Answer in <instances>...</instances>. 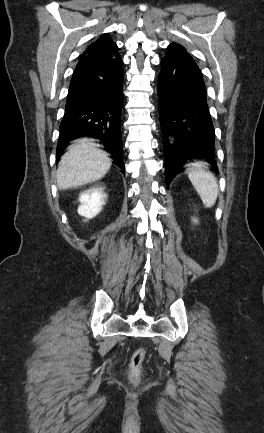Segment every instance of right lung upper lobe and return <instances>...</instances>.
<instances>
[{
	"instance_id": "right-lung-upper-lobe-1",
	"label": "right lung upper lobe",
	"mask_w": 264,
	"mask_h": 433,
	"mask_svg": "<svg viewBox=\"0 0 264 433\" xmlns=\"http://www.w3.org/2000/svg\"><path fill=\"white\" fill-rule=\"evenodd\" d=\"M99 54L107 58L118 57V47L110 36L103 34L100 38L87 47L83 55ZM59 156V155H58Z\"/></svg>"
}]
</instances>
